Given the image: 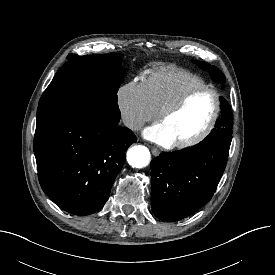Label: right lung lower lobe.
Here are the masks:
<instances>
[{
  "label": "right lung lower lobe",
  "instance_id": "98d812e1",
  "mask_svg": "<svg viewBox=\"0 0 275 275\" xmlns=\"http://www.w3.org/2000/svg\"><path fill=\"white\" fill-rule=\"evenodd\" d=\"M117 120L91 112L63 116L36 129L34 153L43 191L75 215L100 210L136 142Z\"/></svg>",
  "mask_w": 275,
  "mask_h": 275
}]
</instances>
